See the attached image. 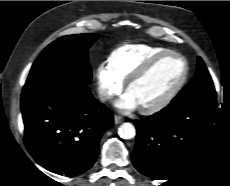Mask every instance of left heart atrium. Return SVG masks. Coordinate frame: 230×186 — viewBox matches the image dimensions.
<instances>
[{
  "label": "left heart atrium",
  "instance_id": "left-heart-atrium-1",
  "mask_svg": "<svg viewBox=\"0 0 230 186\" xmlns=\"http://www.w3.org/2000/svg\"><path fill=\"white\" fill-rule=\"evenodd\" d=\"M116 106L122 111H132L138 108V104L133 96L127 92L117 102Z\"/></svg>",
  "mask_w": 230,
  "mask_h": 186
}]
</instances>
